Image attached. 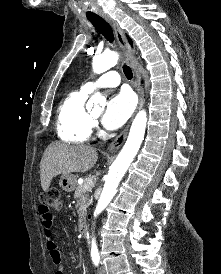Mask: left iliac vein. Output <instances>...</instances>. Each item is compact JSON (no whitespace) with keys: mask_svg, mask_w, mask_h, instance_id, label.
Wrapping results in <instances>:
<instances>
[{"mask_svg":"<svg viewBox=\"0 0 221 274\" xmlns=\"http://www.w3.org/2000/svg\"><path fill=\"white\" fill-rule=\"evenodd\" d=\"M98 274H106V270L104 268V266H101L98 270Z\"/></svg>","mask_w":221,"mask_h":274,"instance_id":"obj_1","label":"left iliac vein"}]
</instances>
